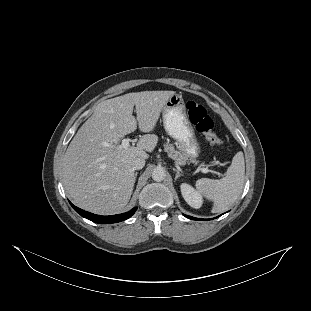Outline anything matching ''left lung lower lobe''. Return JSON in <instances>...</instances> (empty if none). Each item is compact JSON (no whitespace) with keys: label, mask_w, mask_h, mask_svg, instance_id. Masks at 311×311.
<instances>
[{"label":"left lung lower lobe","mask_w":311,"mask_h":311,"mask_svg":"<svg viewBox=\"0 0 311 311\" xmlns=\"http://www.w3.org/2000/svg\"><path fill=\"white\" fill-rule=\"evenodd\" d=\"M187 218H189V219H193V220H205V219H198V218H194V217H191V216H187V215H185Z\"/></svg>","instance_id":"0a47b994"}]
</instances>
